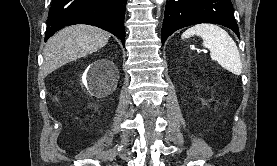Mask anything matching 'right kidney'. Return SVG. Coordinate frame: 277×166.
<instances>
[{
  "instance_id": "right-kidney-1",
  "label": "right kidney",
  "mask_w": 277,
  "mask_h": 166,
  "mask_svg": "<svg viewBox=\"0 0 277 166\" xmlns=\"http://www.w3.org/2000/svg\"><path fill=\"white\" fill-rule=\"evenodd\" d=\"M105 63H106L105 60H101V61H97V62L95 63V65H96L97 68H100V67H102V65H104ZM89 68H90V67H89ZM92 75H93V72H92V71H89V70L87 69L86 72H85V74H84V76H83V83H84L85 85H87V78H88V79H91Z\"/></svg>"
}]
</instances>
